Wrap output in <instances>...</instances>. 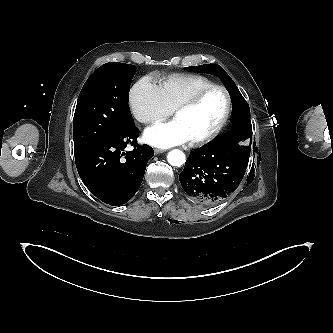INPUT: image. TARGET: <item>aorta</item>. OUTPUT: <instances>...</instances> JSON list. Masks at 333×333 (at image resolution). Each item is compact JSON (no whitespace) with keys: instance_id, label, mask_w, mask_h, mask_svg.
<instances>
[{"instance_id":"1","label":"aorta","mask_w":333,"mask_h":333,"mask_svg":"<svg viewBox=\"0 0 333 333\" xmlns=\"http://www.w3.org/2000/svg\"><path fill=\"white\" fill-rule=\"evenodd\" d=\"M185 154L179 150L174 149L168 153L167 160L172 166H181L185 163Z\"/></svg>"}]
</instances>
